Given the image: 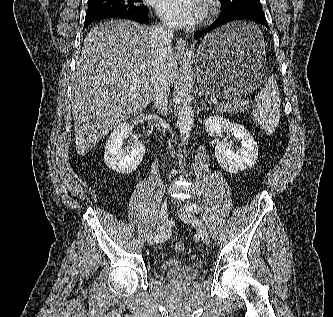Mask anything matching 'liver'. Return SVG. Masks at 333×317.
I'll list each match as a JSON object with an SVG mask.
<instances>
[{
  "mask_svg": "<svg viewBox=\"0 0 333 317\" xmlns=\"http://www.w3.org/2000/svg\"><path fill=\"white\" fill-rule=\"evenodd\" d=\"M159 73L171 85L178 75L176 57L171 47L160 49L151 27L112 20L92 28L72 81L77 154L85 155L115 126L143 111Z\"/></svg>",
  "mask_w": 333,
  "mask_h": 317,
  "instance_id": "liver-1",
  "label": "liver"
}]
</instances>
